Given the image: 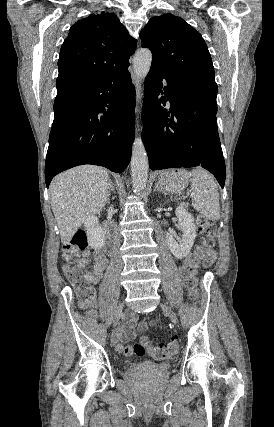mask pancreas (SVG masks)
<instances>
[{
    "label": "pancreas",
    "mask_w": 274,
    "mask_h": 427,
    "mask_svg": "<svg viewBox=\"0 0 274 427\" xmlns=\"http://www.w3.org/2000/svg\"><path fill=\"white\" fill-rule=\"evenodd\" d=\"M183 206H186V208H187V204H183Z\"/></svg>",
    "instance_id": "cf45deb5"
}]
</instances>
